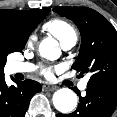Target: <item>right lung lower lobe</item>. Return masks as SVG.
I'll return each instance as SVG.
<instances>
[{
  "instance_id": "1",
  "label": "right lung lower lobe",
  "mask_w": 117,
  "mask_h": 117,
  "mask_svg": "<svg viewBox=\"0 0 117 117\" xmlns=\"http://www.w3.org/2000/svg\"><path fill=\"white\" fill-rule=\"evenodd\" d=\"M7 86L4 75L0 77V117H24L32 96L41 91L37 81H14Z\"/></svg>"
}]
</instances>
